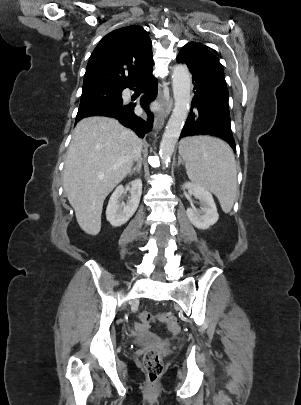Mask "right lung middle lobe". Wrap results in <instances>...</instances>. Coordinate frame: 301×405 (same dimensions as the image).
<instances>
[{"label":"right lung middle lobe","instance_id":"right-lung-middle-lobe-1","mask_svg":"<svg viewBox=\"0 0 301 405\" xmlns=\"http://www.w3.org/2000/svg\"><path fill=\"white\" fill-rule=\"evenodd\" d=\"M121 90L113 88L84 89L78 112H85L96 107L123 103Z\"/></svg>","mask_w":301,"mask_h":405}]
</instances>
